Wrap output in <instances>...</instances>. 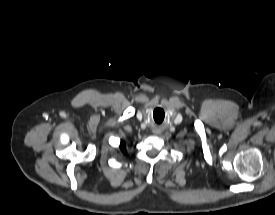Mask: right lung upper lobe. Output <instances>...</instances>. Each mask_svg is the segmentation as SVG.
Returning <instances> with one entry per match:
<instances>
[{
  "mask_svg": "<svg viewBox=\"0 0 275 215\" xmlns=\"http://www.w3.org/2000/svg\"><path fill=\"white\" fill-rule=\"evenodd\" d=\"M120 149L122 150L123 153H126V149L123 143L120 144Z\"/></svg>",
  "mask_w": 275,
  "mask_h": 215,
  "instance_id": "obj_1",
  "label": "right lung upper lobe"
}]
</instances>
